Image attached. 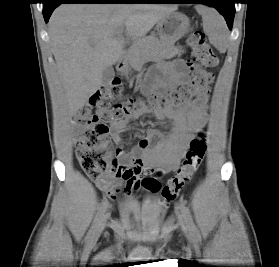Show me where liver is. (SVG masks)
Wrapping results in <instances>:
<instances>
[{
    "label": "liver",
    "instance_id": "6515ba94",
    "mask_svg": "<svg viewBox=\"0 0 279 267\" xmlns=\"http://www.w3.org/2000/svg\"><path fill=\"white\" fill-rule=\"evenodd\" d=\"M177 6L155 4H63L49 21L50 46L74 115L102 85L106 66L123 56L124 39L114 37L125 26L135 40L145 36Z\"/></svg>",
    "mask_w": 279,
    "mask_h": 267
}]
</instances>
